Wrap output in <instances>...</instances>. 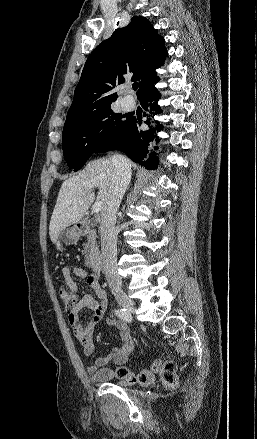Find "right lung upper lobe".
<instances>
[{"label": "right lung upper lobe", "instance_id": "obj_1", "mask_svg": "<svg viewBox=\"0 0 257 439\" xmlns=\"http://www.w3.org/2000/svg\"><path fill=\"white\" fill-rule=\"evenodd\" d=\"M164 43L144 17L135 16L128 26L116 29L89 55L66 122L110 106L117 97L113 88L123 83L127 75L140 80V98L158 77L155 69L164 64L168 55Z\"/></svg>", "mask_w": 257, "mask_h": 439}]
</instances>
